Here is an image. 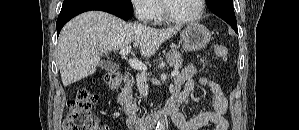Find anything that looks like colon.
<instances>
[{"label": "colon", "instance_id": "colon-1", "mask_svg": "<svg viewBox=\"0 0 299 130\" xmlns=\"http://www.w3.org/2000/svg\"><path fill=\"white\" fill-rule=\"evenodd\" d=\"M215 53L220 59H226L228 49L221 44L215 45ZM111 89H118L123 80V75L118 71H109L102 77ZM98 96L89 88L78 91L75 99L68 102V113L64 120V130H107L91 113L92 107L97 102Z\"/></svg>", "mask_w": 299, "mask_h": 130}]
</instances>
